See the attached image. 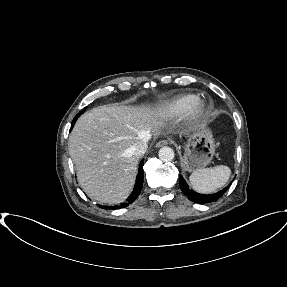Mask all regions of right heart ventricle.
<instances>
[{"label": "right heart ventricle", "mask_w": 287, "mask_h": 287, "mask_svg": "<svg viewBox=\"0 0 287 287\" xmlns=\"http://www.w3.org/2000/svg\"><path fill=\"white\" fill-rule=\"evenodd\" d=\"M196 98L192 94L172 97L156 105L153 112L161 118H172L184 113Z\"/></svg>", "instance_id": "right-heart-ventricle-1"}]
</instances>
